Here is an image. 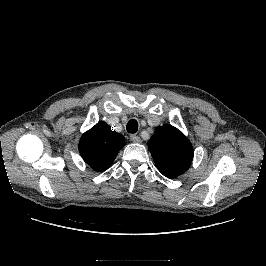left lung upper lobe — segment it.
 <instances>
[{
    "instance_id": "obj_1",
    "label": "left lung upper lobe",
    "mask_w": 266,
    "mask_h": 266,
    "mask_svg": "<svg viewBox=\"0 0 266 266\" xmlns=\"http://www.w3.org/2000/svg\"><path fill=\"white\" fill-rule=\"evenodd\" d=\"M148 147L158 170L169 178L186 172L194 155L189 139L171 125L157 127Z\"/></svg>"
}]
</instances>
